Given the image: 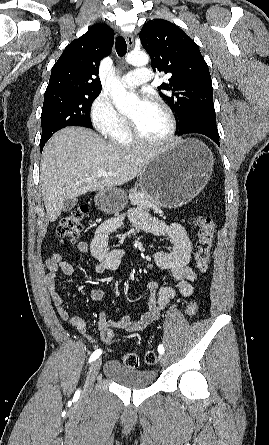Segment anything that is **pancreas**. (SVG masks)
Listing matches in <instances>:
<instances>
[{"label":"pancreas","mask_w":269,"mask_h":445,"mask_svg":"<svg viewBox=\"0 0 269 445\" xmlns=\"http://www.w3.org/2000/svg\"><path fill=\"white\" fill-rule=\"evenodd\" d=\"M129 199L133 205H136L142 209H152L155 213H162V210L158 204L145 193L137 191V186L129 191Z\"/></svg>","instance_id":"cf45deb5"}]
</instances>
